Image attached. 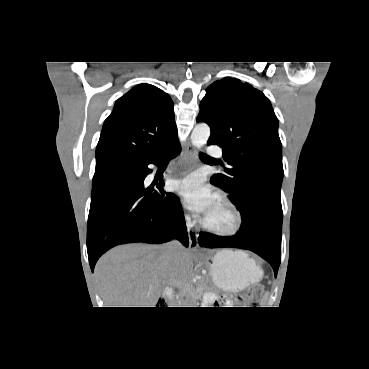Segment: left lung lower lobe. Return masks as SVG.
Masks as SVG:
<instances>
[{
	"instance_id": "0a47b994",
	"label": "left lung lower lobe",
	"mask_w": 369,
	"mask_h": 369,
	"mask_svg": "<svg viewBox=\"0 0 369 369\" xmlns=\"http://www.w3.org/2000/svg\"><path fill=\"white\" fill-rule=\"evenodd\" d=\"M210 182L214 184L211 180ZM282 210L264 205L259 208L248 225L242 223L240 230L231 237H218L201 232L198 240L201 247L248 249L270 263L277 275L281 261Z\"/></svg>"
}]
</instances>
